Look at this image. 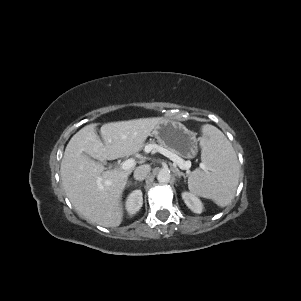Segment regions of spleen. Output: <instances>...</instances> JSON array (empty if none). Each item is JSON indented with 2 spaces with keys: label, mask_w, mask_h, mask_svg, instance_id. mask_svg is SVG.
Masks as SVG:
<instances>
[{
  "label": "spleen",
  "mask_w": 301,
  "mask_h": 301,
  "mask_svg": "<svg viewBox=\"0 0 301 301\" xmlns=\"http://www.w3.org/2000/svg\"><path fill=\"white\" fill-rule=\"evenodd\" d=\"M201 159L204 170L193 171L188 188L194 195L211 199L218 206H227L235 196L239 182V163L231 143L212 125L202 128Z\"/></svg>",
  "instance_id": "3e777b00"
}]
</instances>
